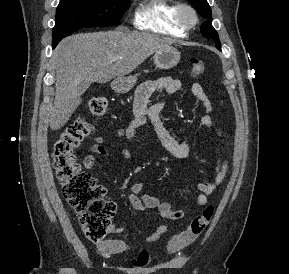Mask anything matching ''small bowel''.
Wrapping results in <instances>:
<instances>
[{
	"label": "small bowel",
	"instance_id": "small-bowel-1",
	"mask_svg": "<svg viewBox=\"0 0 289 274\" xmlns=\"http://www.w3.org/2000/svg\"><path fill=\"white\" fill-rule=\"evenodd\" d=\"M181 87V81L171 77H162L157 80L143 83L138 88L134 99L133 111L135 119L126 129L119 128L116 131L118 137H124L127 140L131 139L135 128L149 121L165 151L178 159L190 156L193 152V146L190 143L178 142L175 140L168 133L161 120L164 101L159 100L155 103H151L152 98L156 94L162 93L164 96H168L178 92ZM191 92L202 103L205 109V114L201 118V124L220 141L219 143L216 140L213 141L215 163L212 178L208 182L198 184L197 187L198 194L194 199V204L198 207H203L208 202V196L218 188L225 178L228 170V159L226 156L224 134L221 128L217 126L215 119L212 116V103L208 95L200 83L192 84ZM103 142V137L97 136L95 138V143L90 147L92 154L87 155L83 160L85 168L92 169L94 167L96 163L95 155L105 156L107 154V149L104 147ZM121 154L128 158L130 157L131 152L129 149H123ZM127 197L136 211L143 212L149 209H156L161 218L165 220V223L161 224L154 232L146 236L145 241L148 243L158 241L162 235L166 233L168 221L179 220L185 215L184 209L175 208L169 202L162 201L145 192L144 185L141 182H136L132 185L131 191L128 193ZM111 232L114 234H121L125 232V229L122 227H112ZM133 248V245L117 238L105 239L96 243L97 251L104 256L125 253Z\"/></svg>",
	"mask_w": 289,
	"mask_h": 274
}]
</instances>
